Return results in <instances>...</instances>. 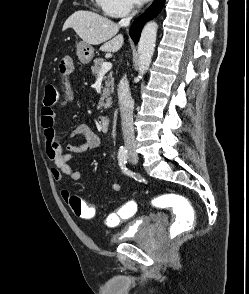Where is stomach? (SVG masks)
Wrapping results in <instances>:
<instances>
[{
  "label": "stomach",
  "instance_id": "stomach-1",
  "mask_svg": "<svg viewBox=\"0 0 249 294\" xmlns=\"http://www.w3.org/2000/svg\"><path fill=\"white\" fill-rule=\"evenodd\" d=\"M76 53L82 64H88L94 56V48L90 44L79 42Z\"/></svg>",
  "mask_w": 249,
  "mask_h": 294
}]
</instances>
